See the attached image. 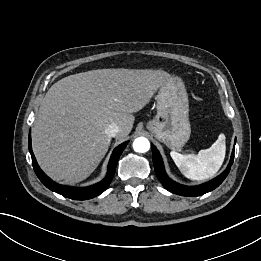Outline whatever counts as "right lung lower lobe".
Returning <instances> with one entry per match:
<instances>
[{
  "mask_svg": "<svg viewBox=\"0 0 261 261\" xmlns=\"http://www.w3.org/2000/svg\"><path fill=\"white\" fill-rule=\"evenodd\" d=\"M128 142H124L119 145L112 153L108 164V172L106 177L99 183L85 187V188H74V187H66L61 186L55 182H53L39 167L35 156L32 152V145H31V131L29 132V151L32 157V165L34 171L39 178V180L50 190L70 199L74 200H87L94 198L101 194L110 184L116 169L117 162L123 150L125 149Z\"/></svg>",
  "mask_w": 261,
  "mask_h": 261,
  "instance_id": "98d812e1",
  "label": "right lung lower lobe"
}]
</instances>
